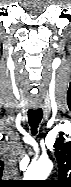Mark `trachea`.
Instances as JSON below:
<instances>
[{"label": "trachea", "instance_id": "3493384b", "mask_svg": "<svg viewBox=\"0 0 71 187\" xmlns=\"http://www.w3.org/2000/svg\"><path fill=\"white\" fill-rule=\"evenodd\" d=\"M42 117L43 112L41 108L28 110V120L33 135L37 134L38 125L41 122Z\"/></svg>", "mask_w": 71, "mask_h": 187}]
</instances>
